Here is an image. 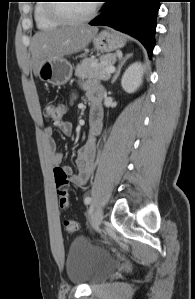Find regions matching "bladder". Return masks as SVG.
<instances>
[{
  "label": "bladder",
  "mask_w": 195,
  "mask_h": 299,
  "mask_svg": "<svg viewBox=\"0 0 195 299\" xmlns=\"http://www.w3.org/2000/svg\"><path fill=\"white\" fill-rule=\"evenodd\" d=\"M114 262L102 248L91 245L86 238L78 237L69 246L66 273L74 284H93L106 278Z\"/></svg>",
  "instance_id": "31cf9c89"
}]
</instances>
